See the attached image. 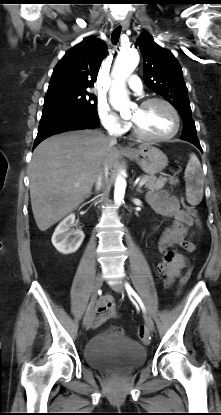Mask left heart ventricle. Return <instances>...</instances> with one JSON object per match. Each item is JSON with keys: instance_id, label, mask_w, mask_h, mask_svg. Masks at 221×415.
Returning a JSON list of instances; mask_svg holds the SVG:
<instances>
[{"instance_id": "obj_1", "label": "left heart ventricle", "mask_w": 221, "mask_h": 415, "mask_svg": "<svg viewBox=\"0 0 221 415\" xmlns=\"http://www.w3.org/2000/svg\"><path fill=\"white\" fill-rule=\"evenodd\" d=\"M131 120L147 134L163 136L169 134L175 126L171 111L162 103H153L147 107H137Z\"/></svg>"}]
</instances>
